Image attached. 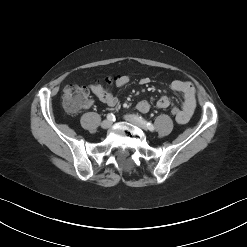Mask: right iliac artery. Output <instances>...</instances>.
<instances>
[{
  "mask_svg": "<svg viewBox=\"0 0 247 247\" xmlns=\"http://www.w3.org/2000/svg\"><path fill=\"white\" fill-rule=\"evenodd\" d=\"M107 119L110 120V121H114L115 120V116L112 113L108 114Z\"/></svg>",
  "mask_w": 247,
  "mask_h": 247,
  "instance_id": "82829eb1",
  "label": "right iliac artery"
}]
</instances>
